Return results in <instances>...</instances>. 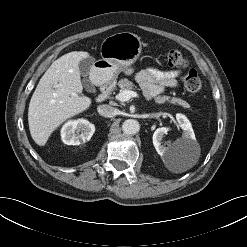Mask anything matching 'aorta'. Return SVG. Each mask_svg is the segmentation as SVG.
<instances>
[{"instance_id":"762f6f07","label":"aorta","mask_w":247,"mask_h":247,"mask_svg":"<svg viewBox=\"0 0 247 247\" xmlns=\"http://www.w3.org/2000/svg\"><path fill=\"white\" fill-rule=\"evenodd\" d=\"M122 130L125 134L134 135L139 132L140 124L137 120L127 119L122 124Z\"/></svg>"}]
</instances>
